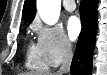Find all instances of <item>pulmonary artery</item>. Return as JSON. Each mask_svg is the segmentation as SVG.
<instances>
[{"mask_svg": "<svg viewBox=\"0 0 107 75\" xmlns=\"http://www.w3.org/2000/svg\"><path fill=\"white\" fill-rule=\"evenodd\" d=\"M63 6L67 11H74L76 9L74 0H64Z\"/></svg>", "mask_w": 107, "mask_h": 75, "instance_id": "e3ab8cb5", "label": "pulmonary artery"}]
</instances>
